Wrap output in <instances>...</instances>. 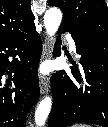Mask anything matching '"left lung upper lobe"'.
Masks as SVG:
<instances>
[{
	"instance_id": "5c2ea615",
	"label": "left lung upper lobe",
	"mask_w": 108,
	"mask_h": 127,
	"mask_svg": "<svg viewBox=\"0 0 108 127\" xmlns=\"http://www.w3.org/2000/svg\"><path fill=\"white\" fill-rule=\"evenodd\" d=\"M49 4L61 8V25L72 26L87 40L108 39V5L104 0H49Z\"/></svg>"
}]
</instances>
